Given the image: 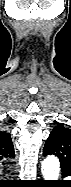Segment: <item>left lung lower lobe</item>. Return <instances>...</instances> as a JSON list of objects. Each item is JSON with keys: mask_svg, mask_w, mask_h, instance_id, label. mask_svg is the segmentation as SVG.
I'll return each instance as SVG.
<instances>
[{"mask_svg": "<svg viewBox=\"0 0 71 187\" xmlns=\"http://www.w3.org/2000/svg\"><path fill=\"white\" fill-rule=\"evenodd\" d=\"M63 176L66 177V176H69V175L63 173Z\"/></svg>", "mask_w": 71, "mask_h": 187, "instance_id": "0a47b994", "label": "left lung lower lobe"}]
</instances>
